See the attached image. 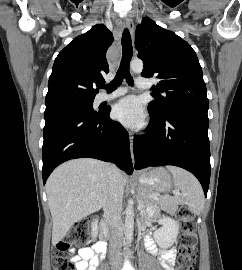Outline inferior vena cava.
<instances>
[{
	"instance_id": "602c4592",
	"label": "inferior vena cava",
	"mask_w": 242,
	"mask_h": 270,
	"mask_svg": "<svg viewBox=\"0 0 242 270\" xmlns=\"http://www.w3.org/2000/svg\"><path fill=\"white\" fill-rule=\"evenodd\" d=\"M111 184L104 208L106 220L111 230L110 248L113 265L121 264V247L123 244L124 225L121 219L124 187L120 178L121 171L113 164L109 165Z\"/></svg>"
}]
</instances>
